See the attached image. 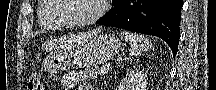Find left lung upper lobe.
Returning <instances> with one entry per match:
<instances>
[{
  "mask_svg": "<svg viewBox=\"0 0 216 90\" xmlns=\"http://www.w3.org/2000/svg\"><path fill=\"white\" fill-rule=\"evenodd\" d=\"M113 2H114V4H116L117 0H114Z\"/></svg>",
  "mask_w": 216,
  "mask_h": 90,
  "instance_id": "5c2ea615",
  "label": "left lung upper lobe"
}]
</instances>
